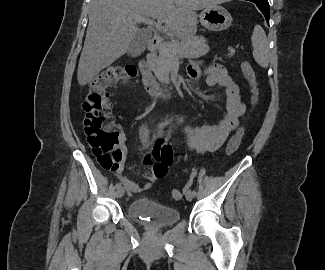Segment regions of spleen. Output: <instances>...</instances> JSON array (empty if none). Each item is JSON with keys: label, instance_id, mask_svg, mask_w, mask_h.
Returning <instances> with one entry per match:
<instances>
[{"label": "spleen", "instance_id": "3e777b00", "mask_svg": "<svg viewBox=\"0 0 325 270\" xmlns=\"http://www.w3.org/2000/svg\"><path fill=\"white\" fill-rule=\"evenodd\" d=\"M253 57L263 68L269 65V43L265 31L260 25H255L252 34Z\"/></svg>", "mask_w": 325, "mask_h": 270}]
</instances>
